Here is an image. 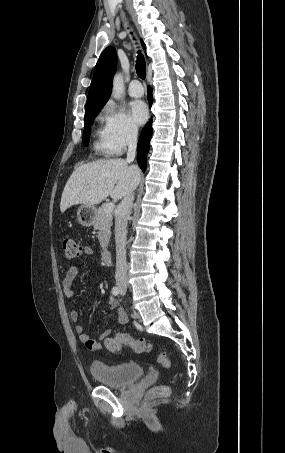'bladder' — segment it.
<instances>
[{
	"instance_id": "31cf9c89",
	"label": "bladder",
	"mask_w": 285,
	"mask_h": 453,
	"mask_svg": "<svg viewBox=\"0 0 285 453\" xmlns=\"http://www.w3.org/2000/svg\"><path fill=\"white\" fill-rule=\"evenodd\" d=\"M90 373L99 383L109 387H126L143 376V368L138 363L108 365L95 361L90 365Z\"/></svg>"
}]
</instances>
